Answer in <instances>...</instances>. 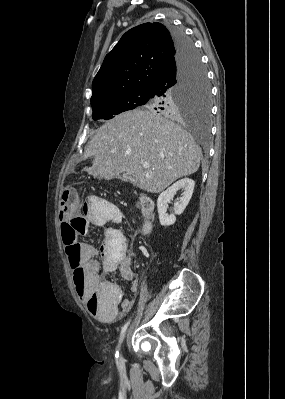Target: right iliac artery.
Listing matches in <instances>:
<instances>
[{"instance_id":"1","label":"right iliac artery","mask_w":285,"mask_h":399,"mask_svg":"<svg viewBox=\"0 0 285 399\" xmlns=\"http://www.w3.org/2000/svg\"><path fill=\"white\" fill-rule=\"evenodd\" d=\"M129 323H130V320H129L128 322H126V323L122 326V328H121V335L126 331L128 325H129ZM115 357H116V359H118V357H119V351H118V350H116V352H115Z\"/></svg>"}]
</instances>
